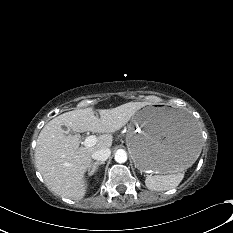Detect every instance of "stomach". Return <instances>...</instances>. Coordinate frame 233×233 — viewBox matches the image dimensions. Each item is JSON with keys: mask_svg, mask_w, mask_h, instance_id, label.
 Listing matches in <instances>:
<instances>
[{"mask_svg": "<svg viewBox=\"0 0 233 233\" xmlns=\"http://www.w3.org/2000/svg\"><path fill=\"white\" fill-rule=\"evenodd\" d=\"M126 143L135 165L156 173L189 167L201 150L200 133L191 116L168 106L139 109L128 126Z\"/></svg>", "mask_w": 233, "mask_h": 233, "instance_id": "0dacf381", "label": "stomach"}]
</instances>
